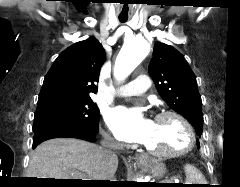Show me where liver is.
I'll return each instance as SVG.
<instances>
[{"label": "liver", "instance_id": "obj_1", "mask_svg": "<svg viewBox=\"0 0 240 187\" xmlns=\"http://www.w3.org/2000/svg\"><path fill=\"white\" fill-rule=\"evenodd\" d=\"M101 147L74 139L56 138L41 143L27 168L28 178L108 180L117 170L118 158L106 161Z\"/></svg>", "mask_w": 240, "mask_h": 187}]
</instances>
